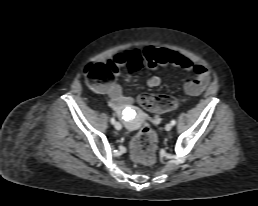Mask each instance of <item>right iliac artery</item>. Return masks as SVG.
Wrapping results in <instances>:
<instances>
[{
  "instance_id": "82829eb1",
  "label": "right iliac artery",
  "mask_w": 258,
  "mask_h": 206,
  "mask_svg": "<svg viewBox=\"0 0 258 206\" xmlns=\"http://www.w3.org/2000/svg\"><path fill=\"white\" fill-rule=\"evenodd\" d=\"M110 121H111L112 124H115V122H116L114 117H112Z\"/></svg>"
}]
</instances>
